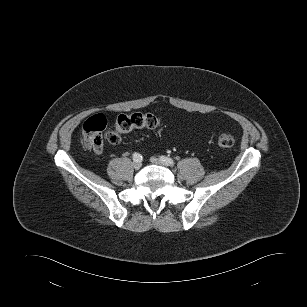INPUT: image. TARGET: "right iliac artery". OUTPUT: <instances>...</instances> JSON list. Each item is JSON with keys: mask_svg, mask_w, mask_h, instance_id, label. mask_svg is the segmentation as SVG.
<instances>
[{"mask_svg": "<svg viewBox=\"0 0 307 307\" xmlns=\"http://www.w3.org/2000/svg\"><path fill=\"white\" fill-rule=\"evenodd\" d=\"M133 160L134 161H141L142 160V156L139 153H134L133 154Z\"/></svg>", "mask_w": 307, "mask_h": 307, "instance_id": "1", "label": "right iliac artery"}]
</instances>
